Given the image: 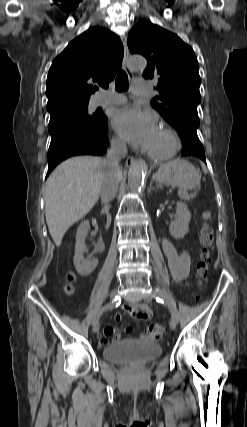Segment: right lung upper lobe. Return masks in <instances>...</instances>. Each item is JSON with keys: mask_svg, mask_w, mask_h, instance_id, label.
Segmentation results:
<instances>
[{"mask_svg": "<svg viewBox=\"0 0 247 427\" xmlns=\"http://www.w3.org/2000/svg\"><path fill=\"white\" fill-rule=\"evenodd\" d=\"M122 59V42L107 29L90 28L75 38L54 59L48 73L50 115L65 107L88 105L98 85L107 88L114 79Z\"/></svg>", "mask_w": 247, "mask_h": 427, "instance_id": "cb5924a9", "label": "right lung upper lobe"}]
</instances>
